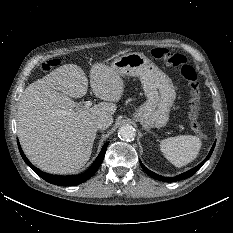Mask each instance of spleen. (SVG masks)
I'll return each mask as SVG.
<instances>
[{
  "mask_svg": "<svg viewBox=\"0 0 233 233\" xmlns=\"http://www.w3.org/2000/svg\"><path fill=\"white\" fill-rule=\"evenodd\" d=\"M201 146V140L191 135L170 137L160 143L162 153L176 167L192 162L198 156Z\"/></svg>",
  "mask_w": 233,
  "mask_h": 233,
  "instance_id": "1",
  "label": "spleen"
}]
</instances>
